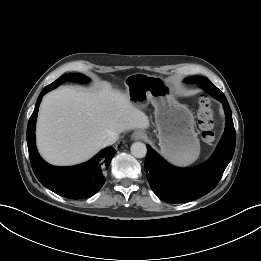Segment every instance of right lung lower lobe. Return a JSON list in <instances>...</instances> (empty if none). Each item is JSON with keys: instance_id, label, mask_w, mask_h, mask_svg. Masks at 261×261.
Instances as JSON below:
<instances>
[{"instance_id": "obj_1", "label": "right lung lower lobe", "mask_w": 261, "mask_h": 261, "mask_svg": "<svg viewBox=\"0 0 261 261\" xmlns=\"http://www.w3.org/2000/svg\"><path fill=\"white\" fill-rule=\"evenodd\" d=\"M58 85L60 84H51L42 90L28 122L27 144L30 162L38 180L54 193L69 199L89 198L103 186L104 172L116 151L112 147L105 148L90 161L72 167H55L42 160L35 146L37 112L42 96Z\"/></svg>"}]
</instances>
